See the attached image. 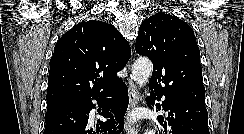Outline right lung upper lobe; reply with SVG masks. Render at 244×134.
I'll use <instances>...</instances> for the list:
<instances>
[{"instance_id":"1","label":"right lung upper lobe","mask_w":244,"mask_h":134,"mask_svg":"<svg viewBox=\"0 0 244 134\" xmlns=\"http://www.w3.org/2000/svg\"><path fill=\"white\" fill-rule=\"evenodd\" d=\"M131 56L127 40L111 24L82 21L56 43L50 60L47 101L91 97L120 78Z\"/></svg>"}]
</instances>
